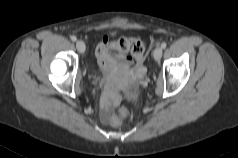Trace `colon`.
I'll return each instance as SVG.
<instances>
[{
  "instance_id": "5ec220e1",
  "label": "colon",
  "mask_w": 238,
  "mask_h": 158,
  "mask_svg": "<svg viewBox=\"0 0 238 158\" xmlns=\"http://www.w3.org/2000/svg\"><path fill=\"white\" fill-rule=\"evenodd\" d=\"M114 49L120 54L130 53L137 61H142L146 55L144 44L134 38L121 37L113 43ZM128 110L124 106L117 107L108 118L109 125L118 127L127 118Z\"/></svg>"
}]
</instances>
